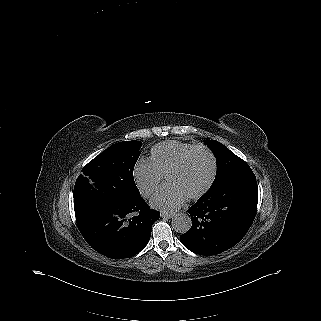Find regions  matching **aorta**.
Segmentation results:
<instances>
[{
    "mask_svg": "<svg viewBox=\"0 0 321 321\" xmlns=\"http://www.w3.org/2000/svg\"><path fill=\"white\" fill-rule=\"evenodd\" d=\"M192 226L191 217L186 213H177L172 218V228L180 234L190 230Z\"/></svg>",
    "mask_w": 321,
    "mask_h": 321,
    "instance_id": "1",
    "label": "aorta"
}]
</instances>
